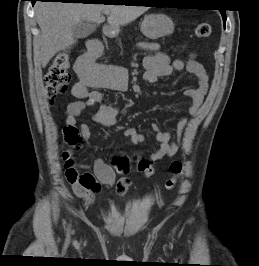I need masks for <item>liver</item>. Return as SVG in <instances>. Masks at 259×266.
I'll return each instance as SVG.
<instances>
[{
	"instance_id": "1",
	"label": "liver",
	"mask_w": 259,
	"mask_h": 266,
	"mask_svg": "<svg viewBox=\"0 0 259 266\" xmlns=\"http://www.w3.org/2000/svg\"><path fill=\"white\" fill-rule=\"evenodd\" d=\"M34 8L41 29L39 60L42 67H46L56 53L76 43L72 29L78 23H101L104 21L101 13L109 11L108 26L119 29L148 10L145 6L62 2H37Z\"/></svg>"
}]
</instances>
